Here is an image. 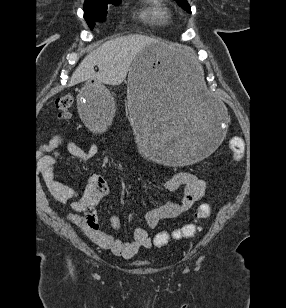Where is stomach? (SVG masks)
<instances>
[{
	"label": "stomach",
	"instance_id": "1",
	"mask_svg": "<svg viewBox=\"0 0 286 308\" xmlns=\"http://www.w3.org/2000/svg\"><path fill=\"white\" fill-rule=\"evenodd\" d=\"M196 51L174 44H149L128 75L131 125H139L142 159L161 168H190L227 144L224 100L204 86ZM110 85L89 80L79 89L77 110L90 129L116 133L117 104Z\"/></svg>",
	"mask_w": 286,
	"mask_h": 308
}]
</instances>
